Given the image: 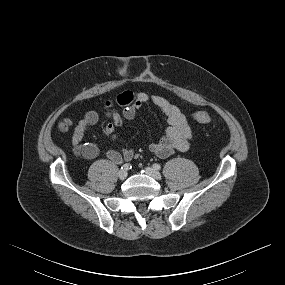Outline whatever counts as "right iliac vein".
I'll return each mask as SVG.
<instances>
[{
  "instance_id": "1",
  "label": "right iliac vein",
  "mask_w": 285,
  "mask_h": 285,
  "mask_svg": "<svg viewBox=\"0 0 285 285\" xmlns=\"http://www.w3.org/2000/svg\"><path fill=\"white\" fill-rule=\"evenodd\" d=\"M127 175H128V173H127L126 170H120V171L118 172V177H119V179H121V180L126 179Z\"/></svg>"
}]
</instances>
